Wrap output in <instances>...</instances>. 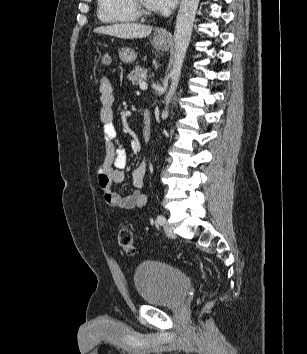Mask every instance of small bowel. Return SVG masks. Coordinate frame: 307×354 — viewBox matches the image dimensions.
Returning <instances> with one entry per match:
<instances>
[{"mask_svg":"<svg viewBox=\"0 0 307 354\" xmlns=\"http://www.w3.org/2000/svg\"><path fill=\"white\" fill-rule=\"evenodd\" d=\"M100 93V121L103 135V160L98 170V182L107 204L115 209H134L145 205L147 197L141 192L144 186L146 163H140L131 173L132 184L135 190L128 195H120L113 190L114 184L124 180L123 169L127 165V154L117 140V130L113 121L114 93L111 81L101 76L99 81ZM145 140L150 138V129L143 130Z\"/></svg>","mask_w":307,"mask_h":354,"instance_id":"obj_1","label":"small bowel"}]
</instances>
